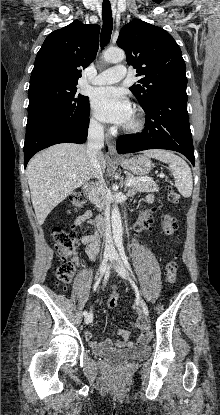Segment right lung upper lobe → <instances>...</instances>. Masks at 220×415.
Masks as SVG:
<instances>
[{
  "instance_id": "cb5924a9",
  "label": "right lung upper lobe",
  "mask_w": 220,
  "mask_h": 415,
  "mask_svg": "<svg viewBox=\"0 0 220 415\" xmlns=\"http://www.w3.org/2000/svg\"><path fill=\"white\" fill-rule=\"evenodd\" d=\"M100 27L79 20L50 33L38 51L30 80L55 78L78 82L98 51Z\"/></svg>"
}]
</instances>
